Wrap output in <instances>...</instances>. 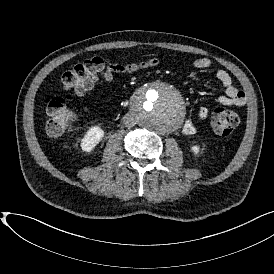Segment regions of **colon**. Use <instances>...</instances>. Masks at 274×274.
<instances>
[{"instance_id": "1", "label": "colon", "mask_w": 274, "mask_h": 274, "mask_svg": "<svg viewBox=\"0 0 274 274\" xmlns=\"http://www.w3.org/2000/svg\"><path fill=\"white\" fill-rule=\"evenodd\" d=\"M110 63L100 57H94L84 63L75 65L61 77V86L66 91L64 96L54 95L47 101L49 119L46 133L49 137H59L68 131L77 120L76 113L69 109L72 93L84 86L90 79L100 76L101 69ZM215 134L227 136L233 133L239 125L237 112L219 109L214 112L211 121Z\"/></svg>"}]
</instances>
